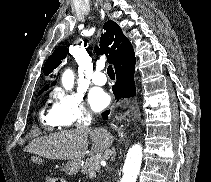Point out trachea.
<instances>
[{
	"label": "trachea",
	"instance_id": "trachea-1",
	"mask_svg": "<svg viewBox=\"0 0 211 182\" xmlns=\"http://www.w3.org/2000/svg\"><path fill=\"white\" fill-rule=\"evenodd\" d=\"M107 74H108V76L115 77V73H114V70H113L112 65H109V66L107 67Z\"/></svg>",
	"mask_w": 211,
	"mask_h": 182
}]
</instances>
